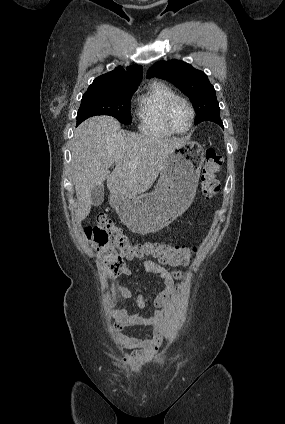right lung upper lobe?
I'll use <instances>...</instances> for the list:
<instances>
[{
  "mask_svg": "<svg viewBox=\"0 0 285 424\" xmlns=\"http://www.w3.org/2000/svg\"><path fill=\"white\" fill-rule=\"evenodd\" d=\"M142 80V67L133 65L124 70L119 66L113 71L103 74L89 86L88 89H103L113 87L138 86Z\"/></svg>",
  "mask_w": 285,
  "mask_h": 424,
  "instance_id": "cb5924a9",
  "label": "right lung upper lobe"
}]
</instances>
